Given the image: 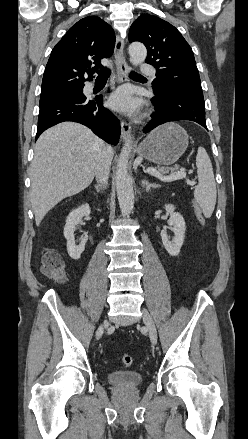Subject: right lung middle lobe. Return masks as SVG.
Here are the masks:
<instances>
[{
	"mask_svg": "<svg viewBox=\"0 0 248 439\" xmlns=\"http://www.w3.org/2000/svg\"><path fill=\"white\" fill-rule=\"evenodd\" d=\"M83 92V88H79L76 90H71L68 92H63V93H59V94H54V95H48V96H41L40 98V107L47 105L51 102L72 96V95H76V94H80Z\"/></svg>",
	"mask_w": 248,
	"mask_h": 439,
	"instance_id": "obj_1",
	"label": "right lung middle lobe"
}]
</instances>
